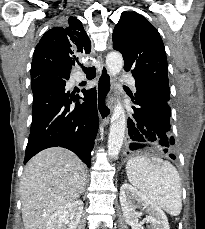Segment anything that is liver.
<instances>
[{"label":"liver","mask_w":205,"mask_h":229,"mask_svg":"<svg viewBox=\"0 0 205 229\" xmlns=\"http://www.w3.org/2000/svg\"><path fill=\"white\" fill-rule=\"evenodd\" d=\"M85 183V165L67 149L53 147L31 158L20 185L25 229H46L56 210L79 198Z\"/></svg>","instance_id":"liver-1"}]
</instances>
